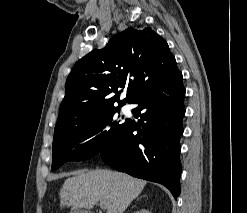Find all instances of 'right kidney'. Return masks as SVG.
I'll list each match as a JSON object with an SVG mask.
<instances>
[{
	"label": "right kidney",
	"instance_id": "right-kidney-1",
	"mask_svg": "<svg viewBox=\"0 0 247 213\" xmlns=\"http://www.w3.org/2000/svg\"><path fill=\"white\" fill-rule=\"evenodd\" d=\"M134 213H150V212L148 210H146V209H141V210H138V211H136Z\"/></svg>",
	"mask_w": 247,
	"mask_h": 213
}]
</instances>
